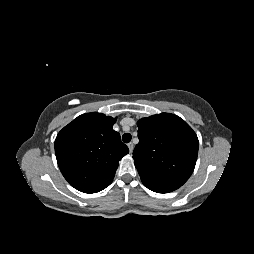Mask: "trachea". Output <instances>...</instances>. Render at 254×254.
<instances>
[{
    "label": "trachea",
    "instance_id": "3493384b",
    "mask_svg": "<svg viewBox=\"0 0 254 254\" xmlns=\"http://www.w3.org/2000/svg\"><path fill=\"white\" fill-rule=\"evenodd\" d=\"M131 138H132V136L130 133H125L122 136V140L124 143H129L131 141Z\"/></svg>",
    "mask_w": 254,
    "mask_h": 254
}]
</instances>
